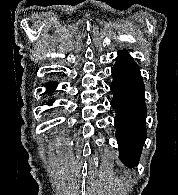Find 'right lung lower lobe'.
Instances as JSON below:
<instances>
[{"label": "right lung lower lobe", "instance_id": "obj_1", "mask_svg": "<svg viewBox=\"0 0 178 195\" xmlns=\"http://www.w3.org/2000/svg\"><path fill=\"white\" fill-rule=\"evenodd\" d=\"M57 87L56 83H49L48 85H46V89L49 92H52L55 90V88ZM53 103V101H51V104Z\"/></svg>", "mask_w": 178, "mask_h": 195}]
</instances>
